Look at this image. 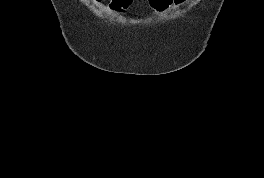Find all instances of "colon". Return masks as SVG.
Wrapping results in <instances>:
<instances>
[{
  "label": "colon",
  "mask_w": 264,
  "mask_h": 178,
  "mask_svg": "<svg viewBox=\"0 0 264 178\" xmlns=\"http://www.w3.org/2000/svg\"><path fill=\"white\" fill-rule=\"evenodd\" d=\"M132 0H110L109 8L116 14H124ZM150 7L157 13L165 12L171 4V0H148Z\"/></svg>",
  "instance_id": "colon-1"
}]
</instances>
